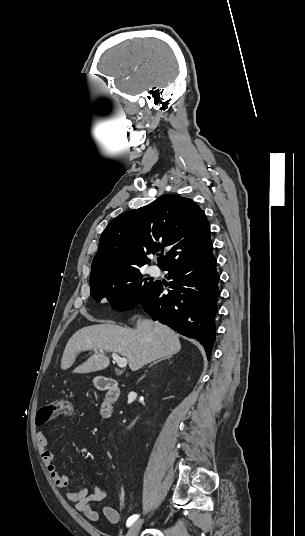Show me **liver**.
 <instances>
[{
    "label": "liver",
    "mask_w": 305,
    "mask_h": 536,
    "mask_svg": "<svg viewBox=\"0 0 305 536\" xmlns=\"http://www.w3.org/2000/svg\"><path fill=\"white\" fill-rule=\"evenodd\" d=\"M113 324L114 322H106L78 330L66 344L61 360L62 370L71 368L76 356L87 350L95 352L84 364L73 370L74 374H90L108 368L110 360L105 356L106 352H118L125 356L130 370L136 372L146 364H151L159 358H168L181 350L177 334L160 322L139 318L136 330Z\"/></svg>",
    "instance_id": "6515ba94"
}]
</instances>
